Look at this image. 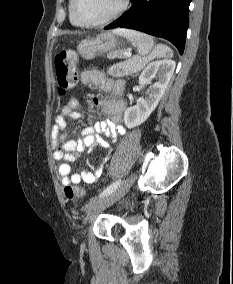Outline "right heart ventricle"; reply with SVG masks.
<instances>
[{"label": "right heart ventricle", "instance_id": "e07e8e85", "mask_svg": "<svg viewBox=\"0 0 233 284\" xmlns=\"http://www.w3.org/2000/svg\"><path fill=\"white\" fill-rule=\"evenodd\" d=\"M72 3L73 0H69V4H68V10H69V19L72 25L74 26H81L77 20L74 18L73 13H72Z\"/></svg>", "mask_w": 233, "mask_h": 284}]
</instances>
